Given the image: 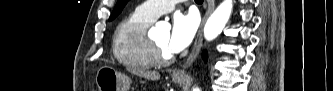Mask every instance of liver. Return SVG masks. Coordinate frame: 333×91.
I'll use <instances>...</instances> for the list:
<instances>
[{"label": "liver", "mask_w": 333, "mask_h": 91, "mask_svg": "<svg viewBox=\"0 0 333 91\" xmlns=\"http://www.w3.org/2000/svg\"><path fill=\"white\" fill-rule=\"evenodd\" d=\"M132 73L135 75L148 79V80H159L160 79V74L157 71H148V70H143V69H137V70H132L129 69Z\"/></svg>", "instance_id": "liver-1"}]
</instances>
